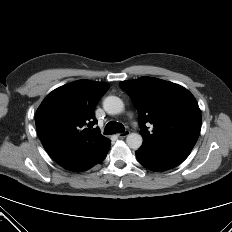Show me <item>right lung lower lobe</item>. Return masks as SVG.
<instances>
[{
    "mask_svg": "<svg viewBox=\"0 0 232 232\" xmlns=\"http://www.w3.org/2000/svg\"><path fill=\"white\" fill-rule=\"evenodd\" d=\"M107 152H105L99 156H96V157L72 161V162L66 163V164L61 165V166L67 170L74 171V172L86 171V170L90 169L91 167H93L94 165L101 162L104 159V157L106 156Z\"/></svg>",
    "mask_w": 232,
    "mask_h": 232,
    "instance_id": "right-lung-lower-lobe-1",
    "label": "right lung lower lobe"
}]
</instances>
